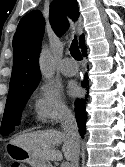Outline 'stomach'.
I'll return each mask as SVG.
<instances>
[{
    "instance_id": "1",
    "label": "stomach",
    "mask_w": 125,
    "mask_h": 167,
    "mask_svg": "<svg viewBox=\"0 0 125 167\" xmlns=\"http://www.w3.org/2000/svg\"><path fill=\"white\" fill-rule=\"evenodd\" d=\"M6 152L12 160L26 162L30 164L31 167H52L47 161L33 156L22 147L12 143L7 145Z\"/></svg>"
}]
</instances>
